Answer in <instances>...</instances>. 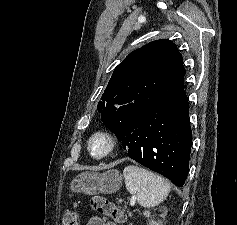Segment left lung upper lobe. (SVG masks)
Instances as JSON below:
<instances>
[{"mask_svg":"<svg viewBox=\"0 0 237 225\" xmlns=\"http://www.w3.org/2000/svg\"><path fill=\"white\" fill-rule=\"evenodd\" d=\"M183 58L176 45L152 41L131 52L114 70L97 110L115 135L147 107L184 90Z\"/></svg>","mask_w":237,"mask_h":225,"instance_id":"left-lung-upper-lobe-1","label":"left lung upper lobe"}]
</instances>
